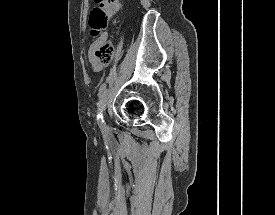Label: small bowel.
Instances as JSON below:
<instances>
[{"instance_id":"c3829d8e","label":"small bowel","mask_w":275,"mask_h":215,"mask_svg":"<svg viewBox=\"0 0 275 215\" xmlns=\"http://www.w3.org/2000/svg\"><path fill=\"white\" fill-rule=\"evenodd\" d=\"M106 37V35L104 34L103 37H99L97 39H95L92 42L88 43V59L90 61V63H92L94 70L99 71L103 69V65H99L96 62V58H95V50L97 48V46L99 45V43L102 41V39H104Z\"/></svg>"}]
</instances>
